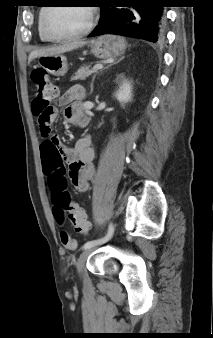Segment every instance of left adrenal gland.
<instances>
[{
  "label": "left adrenal gland",
  "instance_id": "a2214340",
  "mask_svg": "<svg viewBox=\"0 0 213 338\" xmlns=\"http://www.w3.org/2000/svg\"><path fill=\"white\" fill-rule=\"evenodd\" d=\"M122 59H123V57H122L120 60H118L117 62H115V63H118V62L121 61ZM115 63H114V64H115ZM111 65H112V64H110L109 66H111ZM96 75H97V73L93 76L92 82H91V84H90V88H91L90 94L93 92V83H94V80H95Z\"/></svg>",
  "mask_w": 213,
  "mask_h": 338
}]
</instances>
